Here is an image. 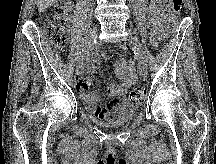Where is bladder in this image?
I'll use <instances>...</instances> for the list:
<instances>
[{
    "mask_svg": "<svg viewBox=\"0 0 216 164\" xmlns=\"http://www.w3.org/2000/svg\"><path fill=\"white\" fill-rule=\"evenodd\" d=\"M136 110L135 109H126L123 111H120L119 115L115 117L114 119H111L109 121H103L100 119H95V123L100 126L104 127H118L127 124L131 121V119L135 116Z\"/></svg>",
    "mask_w": 216,
    "mask_h": 164,
    "instance_id": "obj_1",
    "label": "bladder"
}]
</instances>
